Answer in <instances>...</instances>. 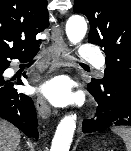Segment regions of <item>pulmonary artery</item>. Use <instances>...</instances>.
Listing matches in <instances>:
<instances>
[{
  "label": "pulmonary artery",
  "mask_w": 131,
  "mask_h": 151,
  "mask_svg": "<svg viewBox=\"0 0 131 151\" xmlns=\"http://www.w3.org/2000/svg\"><path fill=\"white\" fill-rule=\"evenodd\" d=\"M79 55L82 60L91 63L98 70H103L105 66L104 57L90 44L81 46Z\"/></svg>",
  "instance_id": "pulmonary-artery-1"
}]
</instances>
